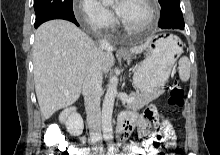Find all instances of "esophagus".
Here are the masks:
<instances>
[{
  "label": "esophagus",
  "mask_w": 220,
  "mask_h": 155,
  "mask_svg": "<svg viewBox=\"0 0 220 155\" xmlns=\"http://www.w3.org/2000/svg\"><path fill=\"white\" fill-rule=\"evenodd\" d=\"M118 52H119V53H123L124 50H123V49H119Z\"/></svg>",
  "instance_id": "obj_1"
}]
</instances>
